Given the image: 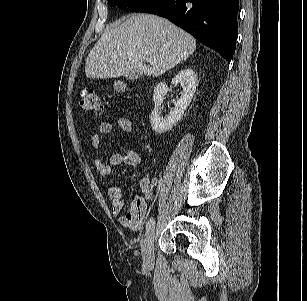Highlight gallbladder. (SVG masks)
<instances>
[{"label":"gallbladder","mask_w":307,"mask_h":301,"mask_svg":"<svg viewBox=\"0 0 307 301\" xmlns=\"http://www.w3.org/2000/svg\"><path fill=\"white\" fill-rule=\"evenodd\" d=\"M142 73L139 72V71H131V72H128L127 74H125V77L129 80H135L139 77H141Z\"/></svg>","instance_id":"gallbladder-1"}]
</instances>
